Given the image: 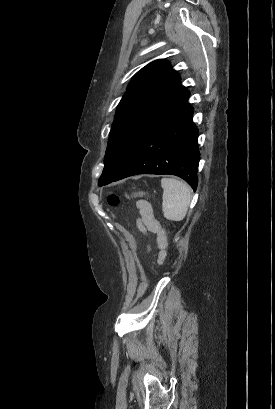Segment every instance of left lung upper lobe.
<instances>
[{
	"instance_id": "1",
	"label": "left lung upper lobe",
	"mask_w": 275,
	"mask_h": 409,
	"mask_svg": "<svg viewBox=\"0 0 275 409\" xmlns=\"http://www.w3.org/2000/svg\"><path fill=\"white\" fill-rule=\"evenodd\" d=\"M188 96L168 61L156 60L138 71L117 106L98 185L111 183L146 131Z\"/></svg>"
}]
</instances>
